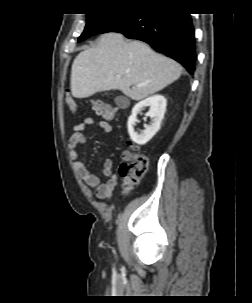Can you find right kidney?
Segmentation results:
<instances>
[{
  "instance_id": "ca27d5eb",
  "label": "right kidney",
  "mask_w": 252,
  "mask_h": 303,
  "mask_svg": "<svg viewBox=\"0 0 252 303\" xmlns=\"http://www.w3.org/2000/svg\"><path fill=\"white\" fill-rule=\"evenodd\" d=\"M166 106L167 101L164 96L154 95L140 101L133 107L132 114L127 123L128 132L133 142L138 145H145L152 139L160 129L161 122L166 112ZM145 107H150L146 116H149L152 119V123L150 125H145L144 131L138 134L134 129V125L137 121V114Z\"/></svg>"
}]
</instances>
